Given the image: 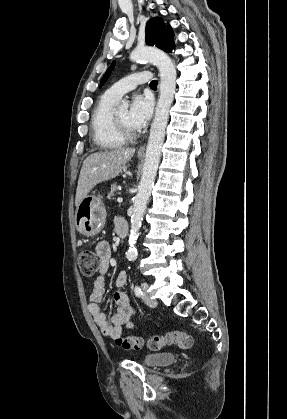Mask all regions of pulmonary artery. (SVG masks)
Segmentation results:
<instances>
[{"label": "pulmonary artery", "instance_id": "1", "mask_svg": "<svg viewBox=\"0 0 287 419\" xmlns=\"http://www.w3.org/2000/svg\"><path fill=\"white\" fill-rule=\"evenodd\" d=\"M152 80V75L149 71L132 73L113 84L106 93L119 100L126 92L133 90L140 84L151 82Z\"/></svg>", "mask_w": 287, "mask_h": 419}]
</instances>
